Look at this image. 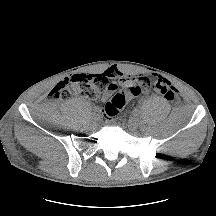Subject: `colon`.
I'll use <instances>...</instances> for the list:
<instances>
[{
    "instance_id": "1",
    "label": "colon",
    "mask_w": 216,
    "mask_h": 216,
    "mask_svg": "<svg viewBox=\"0 0 216 216\" xmlns=\"http://www.w3.org/2000/svg\"><path fill=\"white\" fill-rule=\"evenodd\" d=\"M108 86L109 79L104 75L74 74L60 81L51 91V95L61 100H66L74 94L96 99L107 90ZM142 89H151L170 102L175 101L177 97L176 88L168 80L159 76L143 77L138 84L125 87L115 94L104 107L105 115L114 118L128 100Z\"/></svg>"
}]
</instances>
